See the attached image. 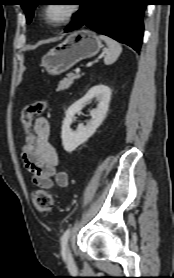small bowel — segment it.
I'll list each match as a JSON object with an SVG mask.
<instances>
[{"mask_svg": "<svg viewBox=\"0 0 174 278\" xmlns=\"http://www.w3.org/2000/svg\"><path fill=\"white\" fill-rule=\"evenodd\" d=\"M37 145L28 155H21L26 169L32 174L33 182L44 189H51L55 184L68 185V175L58 171L59 157L49 141L50 123L45 117H38L33 126Z\"/></svg>", "mask_w": 174, "mask_h": 278, "instance_id": "small-bowel-1", "label": "small bowel"}]
</instances>
